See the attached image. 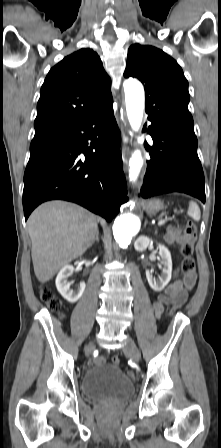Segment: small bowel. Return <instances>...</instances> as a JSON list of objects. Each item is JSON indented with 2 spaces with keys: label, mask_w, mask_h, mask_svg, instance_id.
Here are the masks:
<instances>
[{
  "label": "small bowel",
  "mask_w": 221,
  "mask_h": 448,
  "mask_svg": "<svg viewBox=\"0 0 221 448\" xmlns=\"http://www.w3.org/2000/svg\"><path fill=\"white\" fill-rule=\"evenodd\" d=\"M164 240L171 246L183 243L184 236L176 228H170L164 236ZM196 282V274H192L189 278H177L166 287L164 293L158 297L152 304V309L157 318L161 317L164 305L168 303L179 302L181 305L185 303L188 291L191 290Z\"/></svg>",
  "instance_id": "small-bowel-1"
}]
</instances>
